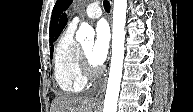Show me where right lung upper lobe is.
Returning <instances> with one entry per match:
<instances>
[{
  "label": "right lung upper lobe",
  "mask_w": 193,
  "mask_h": 112,
  "mask_svg": "<svg viewBox=\"0 0 193 112\" xmlns=\"http://www.w3.org/2000/svg\"><path fill=\"white\" fill-rule=\"evenodd\" d=\"M67 24V16L66 14H64L62 16V18L60 19V22H59V26H58V29H57V37L59 36V34L61 33V31L64 29V27L66 26ZM51 49H53V47H51ZM50 49V50H51Z\"/></svg>",
  "instance_id": "1"
}]
</instances>
